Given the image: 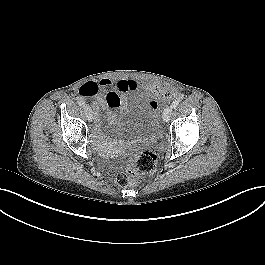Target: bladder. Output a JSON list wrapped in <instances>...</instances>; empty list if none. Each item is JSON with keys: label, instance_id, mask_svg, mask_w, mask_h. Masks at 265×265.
<instances>
[{"label": "bladder", "instance_id": "bladder-1", "mask_svg": "<svg viewBox=\"0 0 265 265\" xmlns=\"http://www.w3.org/2000/svg\"><path fill=\"white\" fill-rule=\"evenodd\" d=\"M120 127L131 137H152L160 130L159 114L141 87L130 90L120 115Z\"/></svg>", "mask_w": 265, "mask_h": 265}]
</instances>
